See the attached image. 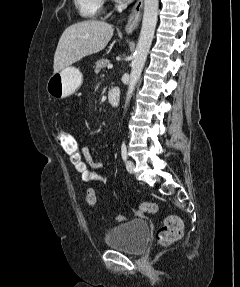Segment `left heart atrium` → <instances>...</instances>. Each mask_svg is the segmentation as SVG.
<instances>
[{
	"label": "left heart atrium",
	"instance_id": "1",
	"mask_svg": "<svg viewBox=\"0 0 240 287\" xmlns=\"http://www.w3.org/2000/svg\"><path fill=\"white\" fill-rule=\"evenodd\" d=\"M121 1H127V2H129V1H131V0H121Z\"/></svg>",
	"mask_w": 240,
	"mask_h": 287
}]
</instances>
